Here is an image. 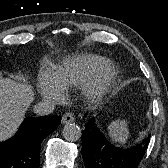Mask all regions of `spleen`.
Instances as JSON below:
<instances>
[{
  "instance_id": "1",
  "label": "spleen",
  "mask_w": 168,
  "mask_h": 168,
  "mask_svg": "<svg viewBox=\"0 0 168 168\" xmlns=\"http://www.w3.org/2000/svg\"><path fill=\"white\" fill-rule=\"evenodd\" d=\"M125 120L113 121L108 126V134L111 140L118 144H125L129 138V131Z\"/></svg>"
}]
</instances>
